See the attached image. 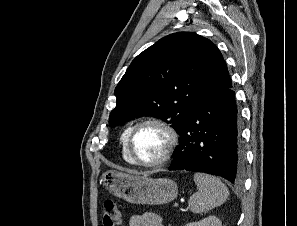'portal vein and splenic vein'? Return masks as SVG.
Listing matches in <instances>:
<instances>
[{
  "instance_id": "portal-vein-and-splenic-vein-1",
  "label": "portal vein and splenic vein",
  "mask_w": 297,
  "mask_h": 226,
  "mask_svg": "<svg viewBox=\"0 0 297 226\" xmlns=\"http://www.w3.org/2000/svg\"><path fill=\"white\" fill-rule=\"evenodd\" d=\"M174 207H175V208H178V207H179V203L175 202V203H174Z\"/></svg>"
}]
</instances>
